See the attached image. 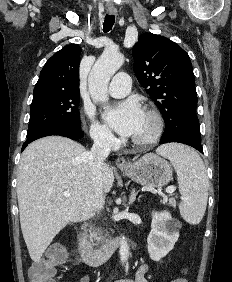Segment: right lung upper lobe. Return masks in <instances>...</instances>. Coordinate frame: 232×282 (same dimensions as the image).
Wrapping results in <instances>:
<instances>
[{"mask_svg":"<svg viewBox=\"0 0 232 282\" xmlns=\"http://www.w3.org/2000/svg\"><path fill=\"white\" fill-rule=\"evenodd\" d=\"M81 49L77 44L65 46L48 59L42 68L34 93L45 91L79 92Z\"/></svg>","mask_w":232,"mask_h":282,"instance_id":"cb5924a9","label":"right lung upper lobe"}]
</instances>
